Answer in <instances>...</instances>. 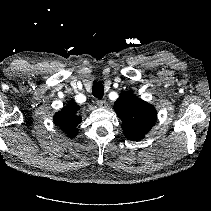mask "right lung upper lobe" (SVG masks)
Wrapping results in <instances>:
<instances>
[{"instance_id":"obj_1","label":"right lung upper lobe","mask_w":211,"mask_h":211,"mask_svg":"<svg viewBox=\"0 0 211 211\" xmlns=\"http://www.w3.org/2000/svg\"><path fill=\"white\" fill-rule=\"evenodd\" d=\"M80 107L69 102L63 109L54 116V124L59 126L69 137H75L78 133L77 125L81 122V117L77 115Z\"/></svg>"}]
</instances>
